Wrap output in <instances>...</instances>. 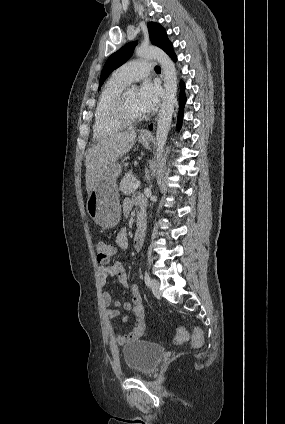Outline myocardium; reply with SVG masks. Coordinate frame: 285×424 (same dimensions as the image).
Returning <instances> with one entry per match:
<instances>
[{"label": "myocardium", "mask_w": 285, "mask_h": 424, "mask_svg": "<svg viewBox=\"0 0 285 424\" xmlns=\"http://www.w3.org/2000/svg\"><path fill=\"white\" fill-rule=\"evenodd\" d=\"M125 94V92H122L115 100L111 109V117L123 126H130L143 120L144 116L134 117L129 115L126 109Z\"/></svg>", "instance_id": "1"}]
</instances>
